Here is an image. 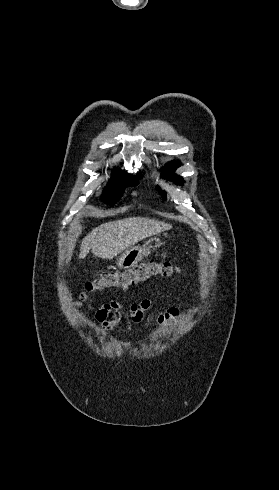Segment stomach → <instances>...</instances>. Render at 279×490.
<instances>
[{"mask_svg":"<svg viewBox=\"0 0 279 490\" xmlns=\"http://www.w3.org/2000/svg\"><path fill=\"white\" fill-rule=\"evenodd\" d=\"M162 246L161 242H156V244H152V242H146L143 246H134V248H129L126 252H122L116 258V264L118 268L121 270H128V268H134L138 262H141L143 258L149 256L152 250H156Z\"/></svg>","mask_w":279,"mask_h":490,"instance_id":"1","label":"stomach"}]
</instances>
